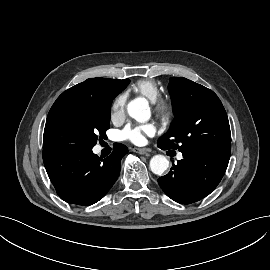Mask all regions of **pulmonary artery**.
Segmentation results:
<instances>
[{
    "mask_svg": "<svg viewBox=\"0 0 270 270\" xmlns=\"http://www.w3.org/2000/svg\"><path fill=\"white\" fill-rule=\"evenodd\" d=\"M181 158H182V154H179V155H178V159H181Z\"/></svg>",
    "mask_w": 270,
    "mask_h": 270,
    "instance_id": "e3ab8cb5",
    "label": "pulmonary artery"
}]
</instances>
